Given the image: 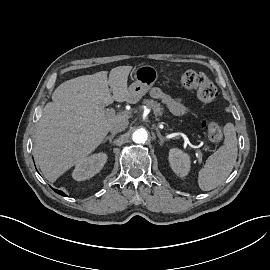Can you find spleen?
Here are the masks:
<instances>
[{
	"mask_svg": "<svg viewBox=\"0 0 270 270\" xmlns=\"http://www.w3.org/2000/svg\"><path fill=\"white\" fill-rule=\"evenodd\" d=\"M224 145L208 157L198 172V184L201 190L210 191L223 183L232 172L237 160V137L233 124L224 127Z\"/></svg>",
	"mask_w": 270,
	"mask_h": 270,
	"instance_id": "obj_1",
	"label": "spleen"
}]
</instances>
